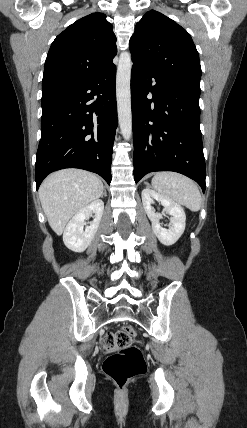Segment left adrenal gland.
I'll return each instance as SVG.
<instances>
[{
  "label": "left adrenal gland",
  "mask_w": 247,
  "mask_h": 428,
  "mask_svg": "<svg viewBox=\"0 0 247 428\" xmlns=\"http://www.w3.org/2000/svg\"><path fill=\"white\" fill-rule=\"evenodd\" d=\"M145 184H146L148 187H150V184H149L148 182H145Z\"/></svg>",
  "instance_id": "a2214340"
}]
</instances>
